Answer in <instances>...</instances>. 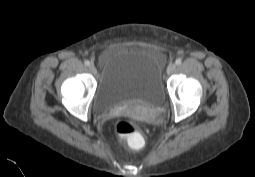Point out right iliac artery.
<instances>
[{
  "label": "right iliac artery",
  "mask_w": 255,
  "mask_h": 177,
  "mask_svg": "<svg viewBox=\"0 0 255 177\" xmlns=\"http://www.w3.org/2000/svg\"><path fill=\"white\" fill-rule=\"evenodd\" d=\"M84 64H85L86 66H90V62H89L88 60H85Z\"/></svg>",
  "instance_id": "82829eb1"
}]
</instances>
